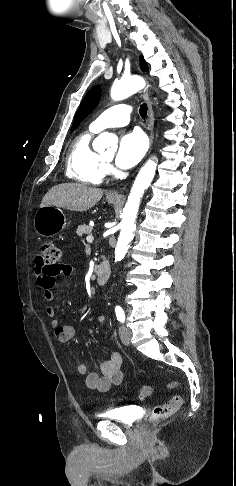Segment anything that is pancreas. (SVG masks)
I'll return each instance as SVG.
<instances>
[{
    "mask_svg": "<svg viewBox=\"0 0 236 486\" xmlns=\"http://www.w3.org/2000/svg\"><path fill=\"white\" fill-rule=\"evenodd\" d=\"M91 231H92L91 226L83 224V225L78 226L76 233H77L78 236L82 237L83 235L91 234Z\"/></svg>",
    "mask_w": 236,
    "mask_h": 486,
    "instance_id": "pancreas-1",
    "label": "pancreas"
}]
</instances>
